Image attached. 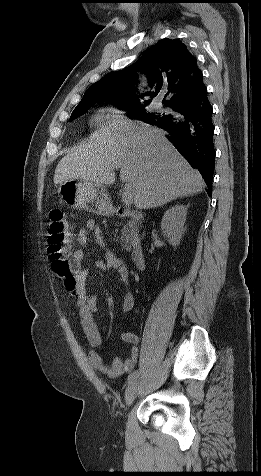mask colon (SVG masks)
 I'll return each instance as SVG.
<instances>
[{"label": "colon", "instance_id": "1", "mask_svg": "<svg viewBox=\"0 0 261 476\" xmlns=\"http://www.w3.org/2000/svg\"><path fill=\"white\" fill-rule=\"evenodd\" d=\"M72 226L63 212L53 209L50 212L48 253L51 266L67 290H74L77 285V271L69 258V243Z\"/></svg>", "mask_w": 261, "mask_h": 476}]
</instances>
